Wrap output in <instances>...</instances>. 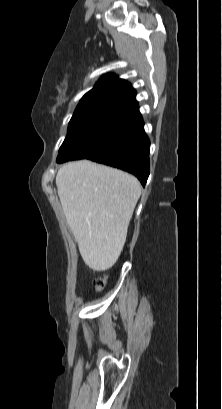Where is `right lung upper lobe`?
<instances>
[{
  "label": "right lung upper lobe",
  "instance_id": "cb5924a9",
  "mask_svg": "<svg viewBox=\"0 0 222 409\" xmlns=\"http://www.w3.org/2000/svg\"><path fill=\"white\" fill-rule=\"evenodd\" d=\"M135 96L130 83L107 74L82 97L76 109L121 106L130 110L138 106Z\"/></svg>",
  "mask_w": 222,
  "mask_h": 409
}]
</instances>
